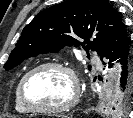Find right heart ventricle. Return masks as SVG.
Listing matches in <instances>:
<instances>
[{"label":"right heart ventricle","instance_id":"obj_1","mask_svg":"<svg viewBox=\"0 0 133 118\" xmlns=\"http://www.w3.org/2000/svg\"><path fill=\"white\" fill-rule=\"evenodd\" d=\"M20 83V81H19ZM19 83L16 86L15 93H14V104L15 109L17 112L21 114H27L29 111L25 108V106L22 104L20 97H19Z\"/></svg>","mask_w":133,"mask_h":118}]
</instances>
